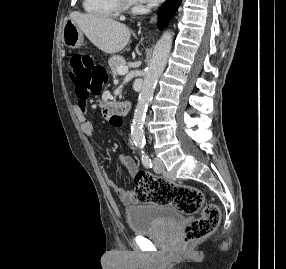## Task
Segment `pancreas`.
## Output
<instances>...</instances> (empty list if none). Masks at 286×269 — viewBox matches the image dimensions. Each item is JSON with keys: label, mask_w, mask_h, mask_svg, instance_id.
<instances>
[{"label": "pancreas", "mask_w": 286, "mask_h": 269, "mask_svg": "<svg viewBox=\"0 0 286 269\" xmlns=\"http://www.w3.org/2000/svg\"><path fill=\"white\" fill-rule=\"evenodd\" d=\"M108 64H109L112 74L116 76L118 74L117 69L119 67H125L126 61L121 56H113L108 60Z\"/></svg>", "instance_id": "cf45deb5"}]
</instances>
